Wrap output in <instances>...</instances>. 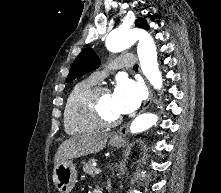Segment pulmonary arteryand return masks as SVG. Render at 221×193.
<instances>
[{
    "instance_id": "1",
    "label": "pulmonary artery",
    "mask_w": 221,
    "mask_h": 193,
    "mask_svg": "<svg viewBox=\"0 0 221 193\" xmlns=\"http://www.w3.org/2000/svg\"><path fill=\"white\" fill-rule=\"evenodd\" d=\"M135 63V56L133 55H125V56H120L115 59V61L112 63L113 68H120V67H127L130 68L134 65ZM107 72L106 71H96L93 73L92 78L95 81H100L102 78L106 76Z\"/></svg>"
}]
</instances>
